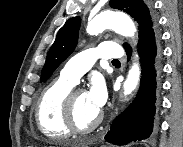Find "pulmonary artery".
Here are the masks:
<instances>
[{"label":"pulmonary artery","instance_id":"obj_1","mask_svg":"<svg viewBox=\"0 0 183 147\" xmlns=\"http://www.w3.org/2000/svg\"><path fill=\"white\" fill-rule=\"evenodd\" d=\"M124 55L122 47L113 42H103L94 48L84 50L71 58L60 72V77L73 83L79 82L97 59H119Z\"/></svg>","mask_w":183,"mask_h":147}]
</instances>
